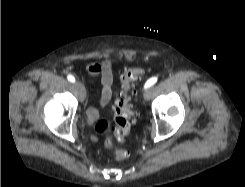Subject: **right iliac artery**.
Masks as SVG:
<instances>
[{
  "instance_id": "obj_1",
  "label": "right iliac artery",
  "mask_w": 245,
  "mask_h": 187,
  "mask_svg": "<svg viewBox=\"0 0 245 187\" xmlns=\"http://www.w3.org/2000/svg\"><path fill=\"white\" fill-rule=\"evenodd\" d=\"M67 79H68V81H70V82H75V78H74V76H72V75H68L67 76Z\"/></svg>"
}]
</instances>
